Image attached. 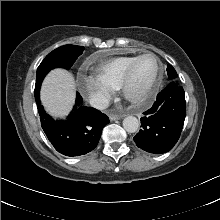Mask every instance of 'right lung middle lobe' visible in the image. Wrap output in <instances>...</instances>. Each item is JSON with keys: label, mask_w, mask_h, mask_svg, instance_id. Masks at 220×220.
Masks as SVG:
<instances>
[{"label": "right lung middle lobe", "mask_w": 220, "mask_h": 220, "mask_svg": "<svg viewBox=\"0 0 220 220\" xmlns=\"http://www.w3.org/2000/svg\"><path fill=\"white\" fill-rule=\"evenodd\" d=\"M83 49L82 46L64 45L50 52L37 69L36 85L41 84L45 75L53 68L69 69L82 54Z\"/></svg>", "instance_id": "right-lung-middle-lobe-1"}]
</instances>
